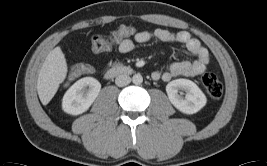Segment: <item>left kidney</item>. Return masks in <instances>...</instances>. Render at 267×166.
Masks as SVG:
<instances>
[{
    "label": "left kidney",
    "mask_w": 267,
    "mask_h": 166,
    "mask_svg": "<svg viewBox=\"0 0 267 166\" xmlns=\"http://www.w3.org/2000/svg\"><path fill=\"white\" fill-rule=\"evenodd\" d=\"M180 90L186 92L185 97L179 94ZM166 92L170 102L185 114L197 113L207 102L201 89L188 79H176L169 82L166 86Z\"/></svg>",
    "instance_id": "obj_1"
}]
</instances>
